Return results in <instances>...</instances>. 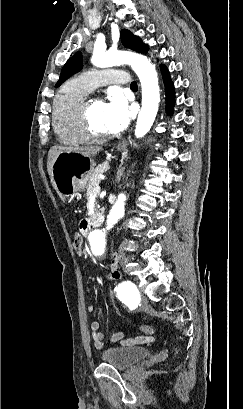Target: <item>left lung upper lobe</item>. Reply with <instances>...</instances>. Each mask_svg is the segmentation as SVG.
Returning a JSON list of instances; mask_svg holds the SVG:
<instances>
[{
	"instance_id": "1",
	"label": "left lung upper lobe",
	"mask_w": 243,
	"mask_h": 409,
	"mask_svg": "<svg viewBox=\"0 0 243 409\" xmlns=\"http://www.w3.org/2000/svg\"><path fill=\"white\" fill-rule=\"evenodd\" d=\"M121 41L122 44L129 49L135 50L137 52H147V45L135 35H133L128 30L121 31ZM83 57L81 52L75 53L62 68L60 78L55 87H59L66 79H68L74 73L80 71L83 68Z\"/></svg>"
}]
</instances>
